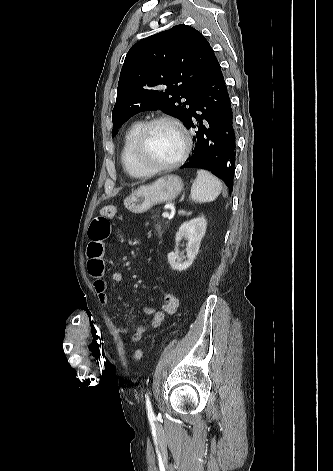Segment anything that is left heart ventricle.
<instances>
[{
  "label": "left heart ventricle",
  "mask_w": 333,
  "mask_h": 471,
  "mask_svg": "<svg viewBox=\"0 0 333 471\" xmlns=\"http://www.w3.org/2000/svg\"><path fill=\"white\" fill-rule=\"evenodd\" d=\"M182 139L178 131L169 124L154 126L148 136L146 158L154 164L174 161L181 153Z\"/></svg>",
  "instance_id": "b2bd125f"
}]
</instances>
